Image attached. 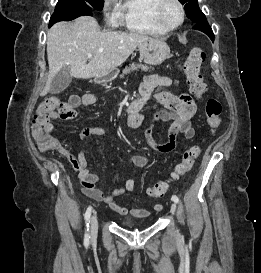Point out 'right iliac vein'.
<instances>
[{"label":"right iliac vein","instance_id":"63e3f726","mask_svg":"<svg viewBox=\"0 0 261 273\" xmlns=\"http://www.w3.org/2000/svg\"><path fill=\"white\" fill-rule=\"evenodd\" d=\"M90 237L94 239L98 231V218L96 214L91 217Z\"/></svg>","mask_w":261,"mask_h":273}]
</instances>
